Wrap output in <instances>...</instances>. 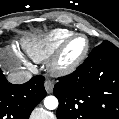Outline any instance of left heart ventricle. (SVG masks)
<instances>
[{
    "label": "left heart ventricle",
    "mask_w": 119,
    "mask_h": 119,
    "mask_svg": "<svg viewBox=\"0 0 119 119\" xmlns=\"http://www.w3.org/2000/svg\"><path fill=\"white\" fill-rule=\"evenodd\" d=\"M86 42L83 38L73 39L63 53L64 62H72L77 59L85 49Z\"/></svg>",
    "instance_id": "b2bd125f"
}]
</instances>
